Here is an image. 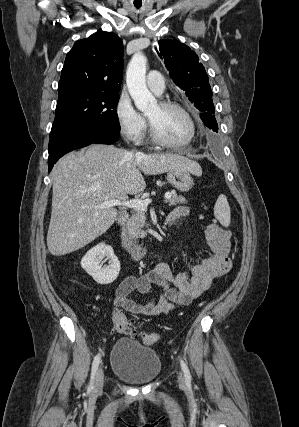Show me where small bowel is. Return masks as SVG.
<instances>
[{"instance_id":"c3829d8e","label":"small bowel","mask_w":299,"mask_h":427,"mask_svg":"<svg viewBox=\"0 0 299 427\" xmlns=\"http://www.w3.org/2000/svg\"><path fill=\"white\" fill-rule=\"evenodd\" d=\"M188 214V208L178 207L169 218L174 222ZM205 234L211 254L190 271L176 273L168 264L159 263L147 273L127 277L119 285L113 305L133 314L159 316L167 315L176 307L188 305L204 295L210 284L231 268L228 258L231 232L211 223L206 226ZM152 285L162 289V294L157 298L151 296ZM134 291L146 300L140 303L131 299Z\"/></svg>"}]
</instances>
